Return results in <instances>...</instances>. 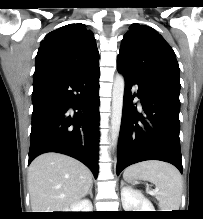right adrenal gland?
I'll list each match as a JSON object with an SVG mask.
<instances>
[{
    "label": "right adrenal gland",
    "mask_w": 203,
    "mask_h": 219,
    "mask_svg": "<svg viewBox=\"0 0 203 219\" xmlns=\"http://www.w3.org/2000/svg\"><path fill=\"white\" fill-rule=\"evenodd\" d=\"M92 188H93V183L91 184L90 188H89V191L87 192L86 195H90L91 198H93V194H92Z\"/></svg>",
    "instance_id": "2a0ac1e0"
}]
</instances>
